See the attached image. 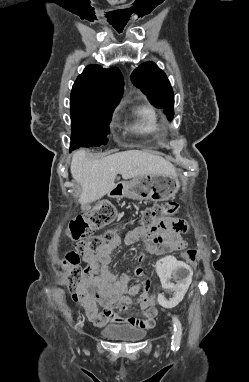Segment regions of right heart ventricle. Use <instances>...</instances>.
<instances>
[{"label": "right heart ventricle", "instance_id": "1", "mask_svg": "<svg viewBox=\"0 0 249 382\" xmlns=\"http://www.w3.org/2000/svg\"><path fill=\"white\" fill-rule=\"evenodd\" d=\"M134 119L133 129L139 133H156L160 130L156 110L147 103H140L131 108Z\"/></svg>", "mask_w": 249, "mask_h": 382}]
</instances>
